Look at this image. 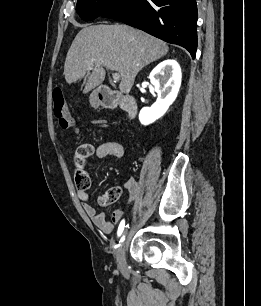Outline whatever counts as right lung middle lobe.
<instances>
[{"mask_svg": "<svg viewBox=\"0 0 261 306\" xmlns=\"http://www.w3.org/2000/svg\"><path fill=\"white\" fill-rule=\"evenodd\" d=\"M122 1L124 0H78L76 11L83 20L90 21L117 6Z\"/></svg>", "mask_w": 261, "mask_h": 306, "instance_id": "obj_1", "label": "right lung middle lobe"}]
</instances>
